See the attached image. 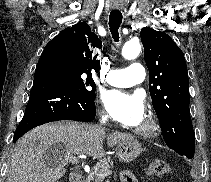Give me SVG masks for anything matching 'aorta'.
<instances>
[{
	"instance_id": "762f6f07",
	"label": "aorta",
	"mask_w": 211,
	"mask_h": 182,
	"mask_svg": "<svg viewBox=\"0 0 211 182\" xmlns=\"http://www.w3.org/2000/svg\"><path fill=\"white\" fill-rule=\"evenodd\" d=\"M141 51V45L138 41H128L124 44L122 48V56L125 59L131 60L136 58Z\"/></svg>"
}]
</instances>
